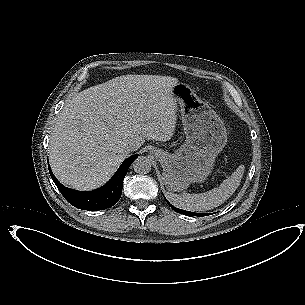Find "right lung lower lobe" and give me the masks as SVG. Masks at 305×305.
I'll return each mask as SVG.
<instances>
[{
	"instance_id": "right-lung-lower-lobe-1",
	"label": "right lung lower lobe",
	"mask_w": 305,
	"mask_h": 305,
	"mask_svg": "<svg viewBox=\"0 0 305 305\" xmlns=\"http://www.w3.org/2000/svg\"><path fill=\"white\" fill-rule=\"evenodd\" d=\"M137 157V155H133L127 158L108 183L99 189L88 192L66 188L55 178L50 166L49 171L57 188L70 204L83 210H104L115 205L120 199L123 188V179L127 174L128 168Z\"/></svg>"
}]
</instances>
